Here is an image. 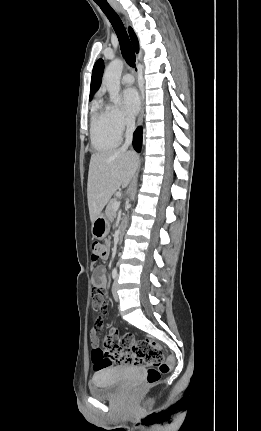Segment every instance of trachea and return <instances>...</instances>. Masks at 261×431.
I'll return each instance as SVG.
<instances>
[{"instance_id":"obj_1","label":"trachea","mask_w":261,"mask_h":431,"mask_svg":"<svg viewBox=\"0 0 261 431\" xmlns=\"http://www.w3.org/2000/svg\"><path fill=\"white\" fill-rule=\"evenodd\" d=\"M97 4L104 12V14L107 16V18L109 19V21L111 22L115 30V33L120 43V49L125 61L130 67H135V62H136L135 53L120 17L111 8V6L108 3H97Z\"/></svg>"}]
</instances>
